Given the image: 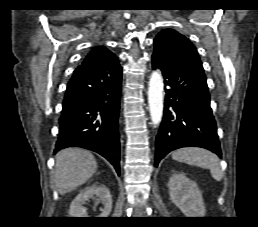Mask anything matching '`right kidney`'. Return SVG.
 <instances>
[{
    "mask_svg": "<svg viewBox=\"0 0 258 227\" xmlns=\"http://www.w3.org/2000/svg\"><path fill=\"white\" fill-rule=\"evenodd\" d=\"M90 199L103 204L99 217H108L112 209V197L106 186L97 184L86 187L75 197L70 205V217H88L87 209L83 205Z\"/></svg>",
    "mask_w": 258,
    "mask_h": 227,
    "instance_id": "ca27d5eb",
    "label": "right kidney"
}]
</instances>
